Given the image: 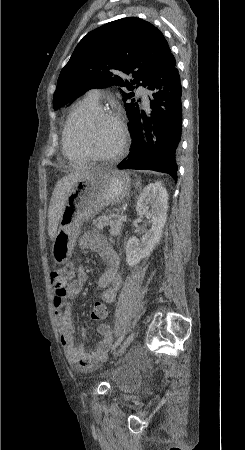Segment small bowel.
Wrapping results in <instances>:
<instances>
[{
  "label": "small bowel",
  "instance_id": "c3829d8e",
  "mask_svg": "<svg viewBox=\"0 0 245 450\" xmlns=\"http://www.w3.org/2000/svg\"><path fill=\"white\" fill-rule=\"evenodd\" d=\"M79 244L96 252L107 263L106 270L98 279L97 286L102 289V300L111 304L117 290L122 283V277L118 273V255L106 236L97 231H87L79 238ZM88 279V273L83 267L70 270L68 274L52 271L51 282L53 287L54 317L56 319L60 341L68 360L75 364L81 372H89L96 368L101 358L109 350L112 344L110 324L102 322L98 327L101 340L92 350H87L85 342L75 344L74 329L71 323V301L81 292L84 283ZM68 280L65 292L62 286ZM86 334V332H85Z\"/></svg>",
  "mask_w": 245,
  "mask_h": 450
}]
</instances>
